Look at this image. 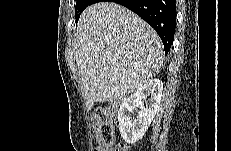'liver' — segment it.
<instances>
[{
	"label": "liver",
	"instance_id": "liver-1",
	"mask_svg": "<svg viewBox=\"0 0 231 151\" xmlns=\"http://www.w3.org/2000/svg\"><path fill=\"white\" fill-rule=\"evenodd\" d=\"M75 36L78 72L91 104L126 97L163 66V45L155 30L114 2L88 6Z\"/></svg>",
	"mask_w": 231,
	"mask_h": 151
}]
</instances>
